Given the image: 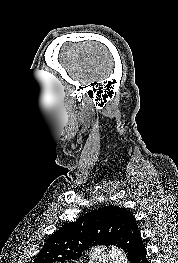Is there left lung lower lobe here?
<instances>
[{
  "mask_svg": "<svg viewBox=\"0 0 178 263\" xmlns=\"http://www.w3.org/2000/svg\"><path fill=\"white\" fill-rule=\"evenodd\" d=\"M119 248L127 254L130 263H149L146 249L134 216H131L122 234Z\"/></svg>",
  "mask_w": 178,
  "mask_h": 263,
  "instance_id": "0a47b994",
  "label": "left lung lower lobe"
}]
</instances>
